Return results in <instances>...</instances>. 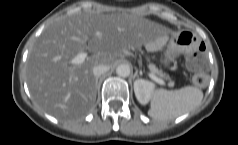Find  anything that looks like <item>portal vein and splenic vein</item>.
<instances>
[{
    "label": "portal vein and splenic vein",
    "instance_id": "portal-vein-and-splenic-vein-1",
    "mask_svg": "<svg viewBox=\"0 0 238 145\" xmlns=\"http://www.w3.org/2000/svg\"><path fill=\"white\" fill-rule=\"evenodd\" d=\"M86 57H87V54H86V53H79V54H77V55L70 61V63H71L72 65L82 64V63L85 61ZM149 76H150L155 82H157V83H159V84H162V85L165 84V81H164V80H162V79L156 77L154 74L150 73Z\"/></svg>",
    "mask_w": 238,
    "mask_h": 145
}]
</instances>
